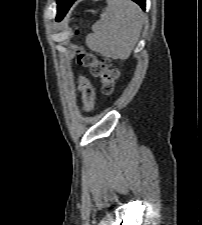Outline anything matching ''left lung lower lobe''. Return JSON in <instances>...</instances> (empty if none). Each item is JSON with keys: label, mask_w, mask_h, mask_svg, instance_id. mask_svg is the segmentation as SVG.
Masks as SVG:
<instances>
[{"label": "left lung lower lobe", "mask_w": 202, "mask_h": 225, "mask_svg": "<svg viewBox=\"0 0 202 225\" xmlns=\"http://www.w3.org/2000/svg\"><path fill=\"white\" fill-rule=\"evenodd\" d=\"M132 1L136 2L137 4H139L142 9H145V0H132Z\"/></svg>", "instance_id": "obj_1"}]
</instances>
